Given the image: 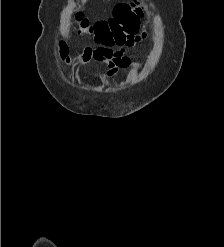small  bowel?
Returning a JSON list of instances; mask_svg holds the SVG:
<instances>
[{"instance_id":"obj_1","label":"small bowel","mask_w":224,"mask_h":247,"mask_svg":"<svg viewBox=\"0 0 224 247\" xmlns=\"http://www.w3.org/2000/svg\"><path fill=\"white\" fill-rule=\"evenodd\" d=\"M147 38L146 29L141 31L125 34L117 39L108 41H96L97 47H85L83 54L74 60L77 65L88 62L91 59L105 62L108 68L104 72L95 73L92 81L102 83L106 79L114 77L119 71H127L129 69L140 70L142 65L134 63L129 55V50L134 49ZM116 47V49H114ZM59 57L68 62V48L62 40H58Z\"/></svg>"}]
</instances>
